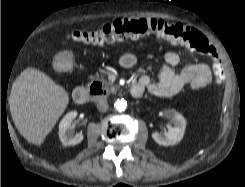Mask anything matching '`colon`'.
<instances>
[{
    "instance_id": "1",
    "label": "colon",
    "mask_w": 245,
    "mask_h": 187,
    "mask_svg": "<svg viewBox=\"0 0 245 187\" xmlns=\"http://www.w3.org/2000/svg\"><path fill=\"white\" fill-rule=\"evenodd\" d=\"M152 34L171 43L182 45L207 56L219 79L222 71L216 49L206 36L198 30L181 23L157 19L122 18L114 20L95 30H76L66 35V42H77L103 46L127 39H137Z\"/></svg>"
}]
</instances>
